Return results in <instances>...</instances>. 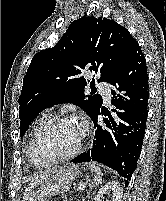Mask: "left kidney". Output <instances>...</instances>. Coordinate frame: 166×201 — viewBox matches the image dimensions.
<instances>
[{"label":"left kidney","instance_id":"left-kidney-1","mask_svg":"<svg viewBox=\"0 0 166 201\" xmlns=\"http://www.w3.org/2000/svg\"><path fill=\"white\" fill-rule=\"evenodd\" d=\"M112 192L113 199L112 201H122L123 189L119 182L111 181L102 186V188L98 191L95 201H102V198L105 194Z\"/></svg>","mask_w":166,"mask_h":201}]
</instances>
